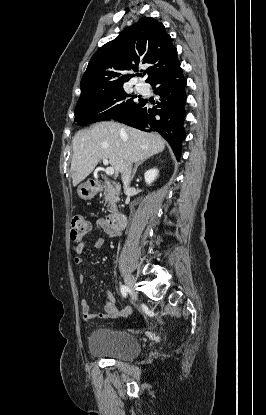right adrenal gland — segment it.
Returning <instances> with one entry per match:
<instances>
[{"label":"right adrenal gland","instance_id":"right-adrenal-gland-1","mask_svg":"<svg viewBox=\"0 0 266 415\" xmlns=\"http://www.w3.org/2000/svg\"><path fill=\"white\" fill-rule=\"evenodd\" d=\"M149 158H150V157H149ZM149 158L144 159V160H141V161H139L138 163H136V165H135V167H134V169H133V173H132V176H131V180H133V178H134V176H135V174H136L137 168H138L140 165H142L145 161H147Z\"/></svg>","mask_w":266,"mask_h":415}]
</instances>
